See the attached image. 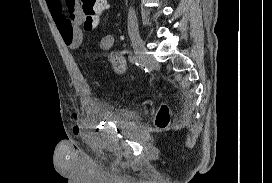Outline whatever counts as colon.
Returning a JSON list of instances; mask_svg holds the SVG:
<instances>
[{"label": "colon", "mask_w": 272, "mask_h": 183, "mask_svg": "<svg viewBox=\"0 0 272 183\" xmlns=\"http://www.w3.org/2000/svg\"><path fill=\"white\" fill-rule=\"evenodd\" d=\"M106 5V0H70L69 14L73 16L77 11L81 16L84 28L90 30L97 25ZM169 120V110L166 106H162L156 115L155 124L159 128H165Z\"/></svg>", "instance_id": "obj_1"}]
</instances>
